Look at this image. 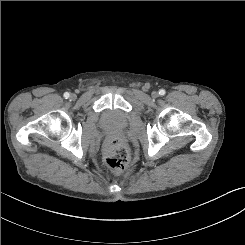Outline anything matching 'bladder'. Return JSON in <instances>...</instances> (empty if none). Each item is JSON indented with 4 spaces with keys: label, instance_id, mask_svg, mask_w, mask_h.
Listing matches in <instances>:
<instances>
[{
    "label": "bladder",
    "instance_id": "31cf9c89",
    "mask_svg": "<svg viewBox=\"0 0 245 245\" xmlns=\"http://www.w3.org/2000/svg\"><path fill=\"white\" fill-rule=\"evenodd\" d=\"M127 123V116L117 110H108L101 118V125L107 129H122L126 127Z\"/></svg>",
    "mask_w": 245,
    "mask_h": 245
}]
</instances>
